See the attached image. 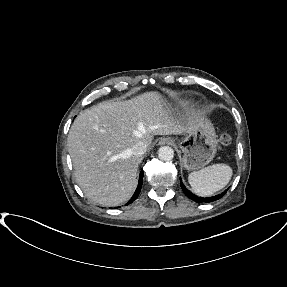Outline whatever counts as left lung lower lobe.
Returning <instances> with one entry per match:
<instances>
[{
  "label": "left lung lower lobe",
  "instance_id": "0a47b994",
  "mask_svg": "<svg viewBox=\"0 0 287 287\" xmlns=\"http://www.w3.org/2000/svg\"><path fill=\"white\" fill-rule=\"evenodd\" d=\"M180 185H181V188L184 192V194L191 200L195 201V202H198V203H208V202H213V201H216L220 198H222L224 196V194L226 193L227 190H225L223 193L221 194H218L216 196H213V197H207V198H203V197H198L196 195H194L192 192H190L185 186L184 184L182 183V181H180Z\"/></svg>",
  "mask_w": 287,
  "mask_h": 287
}]
</instances>
